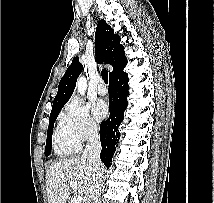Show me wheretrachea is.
<instances>
[{"mask_svg": "<svg viewBox=\"0 0 214 203\" xmlns=\"http://www.w3.org/2000/svg\"><path fill=\"white\" fill-rule=\"evenodd\" d=\"M101 76H102L104 82H105L106 84H108V72H107V70L103 69V70L101 71Z\"/></svg>", "mask_w": 214, "mask_h": 203, "instance_id": "obj_1", "label": "trachea"}]
</instances>
